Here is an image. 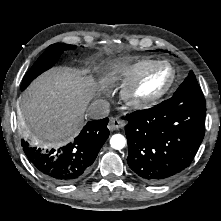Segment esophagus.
Listing matches in <instances>:
<instances>
[{"instance_id":"1","label":"esophagus","mask_w":221,"mask_h":221,"mask_svg":"<svg viewBox=\"0 0 221 221\" xmlns=\"http://www.w3.org/2000/svg\"><path fill=\"white\" fill-rule=\"evenodd\" d=\"M125 126V121L120 118H113L108 124V129L110 131H115L123 128Z\"/></svg>"}]
</instances>
